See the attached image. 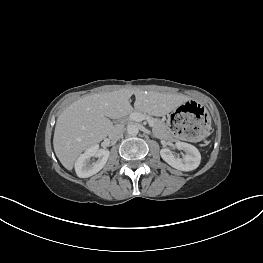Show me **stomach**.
<instances>
[{
	"label": "stomach",
	"instance_id": "0dacf381",
	"mask_svg": "<svg viewBox=\"0 0 263 263\" xmlns=\"http://www.w3.org/2000/svg\"><path fill=\"white\" fill-rule=\"evenodd\" d=\"M169 132L178 140L196 142L204 139L212 130L211 113L197 99L180 100L168 115Z\"/></svg>",
	"mask_w": 263,
	"mask_h": 263
}]
</instances>
